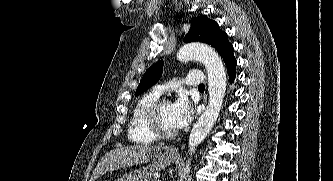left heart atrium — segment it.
<instances>
[{
    "instance_id": "39dd6f15",
    "label": "left heart atrium",
    "mask_w": 333,
    "mask_h": 181,
    "mask_svg": "<svg viewBox=\"0 0 333 181\" xmlns=\"http://www.w3.org/2000/svg\"><path fill=\"white\" fill-rule=\"evenodd\" d=\"M172 105V123L176 129L186 127L193 118V109L185 97H180Z\"/></svg>"
}]
</instances>
